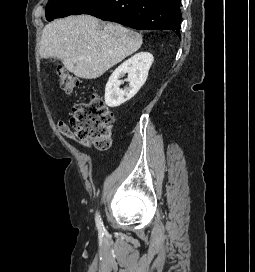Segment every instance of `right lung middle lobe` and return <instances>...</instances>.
Returning <instances> with one entry per match:
<instances>
[{
  "mask_svg": "<svg viewBox=\"0 0 255 272\" xmlns=\"http://www.w3.org/2000/svg\"><path fill=\"white\" fill-rule=\"evenodd\" d=\"M90 0H50L46 6V19L52 21L72 15Z\"/></svg>",
  "mask_w": 255,
  "mask_h": 272,
  "instance_id": "1",
  "label": "right lung middle lobe"
}]
</instances>
